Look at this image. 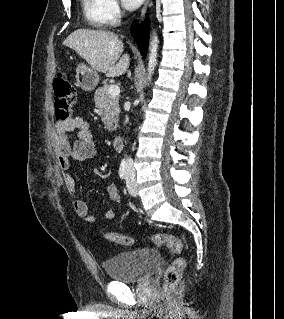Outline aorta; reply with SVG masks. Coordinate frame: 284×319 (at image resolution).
Instances as JSON below:
<instances>
[{
  "instance_id": "obj_1",
  "label": "aorta",
  "mask_w": 284,
  "mask_h": 319,
  "mask_svg": "<svg viewBox=\"0 0 284 319\" xmlns=\"http://www.w3.org/2000/svg\"><path fill=\"white\" fill-rule=\"evenodd\" d=\"M158 36L155 32L150 40L149 45V58H148V67H147V81L150 82L152 75L154 73L156 64H157V52H158Z\"/></svg>"
}]
</instances>
